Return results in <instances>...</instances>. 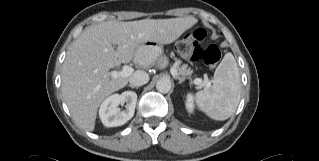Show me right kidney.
Here are the masks:
<instances>
[{"mask_svg": "<svg viewBox=\"0 0 319 161\" xmlns=\"http://www.w3.org/2000/svg\"><path fill=\"white\" fill-rule=\"evenodd\" d=\"M137 94L133 91H125L121 94H113L106 98L99 109V116L106 127H116L125 124L135 112ZM126 103V109L120 111L118 106Z\"/></svg>", "mask_w": 319, "mask_h": 161, "instance_id": "ca27d5eb", "label": "right kidney"}]
</instances>
